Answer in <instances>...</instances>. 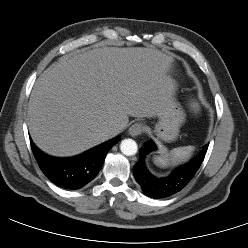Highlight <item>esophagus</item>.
<instances>
[{
	"instance_id": "1",
	"label": "esophagus",
	"mask_w": 248,
	"mask_h": 248,
	"mask_svg": "<svg viewBox=\"0 0 248 248\" xmlns=\"http://www.w3.org/2000/svg\"><path fill=\"white\" fill-rule=\"evenodd\" d=\"M143 132V125L141 123H134L129 128V134L131 136H138Z\"/></svg>"
}]
</instances>
